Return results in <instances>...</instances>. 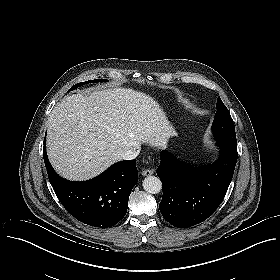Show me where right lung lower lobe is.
I'll use <instances>...</instances> for the list:
<instances>
[{
    "label": "right lung lower lobe",
    "instance_id": "1",
    "mask_svg": "<svg viewBox=\"0 0 280 280\" xmlns=\"http://www.w3.org/2000/svg\"><path fill=\"white\" fill-rule=\"evenodd\" d=\"M43 158L58 199L73 217L90 226L108 228L125 216L131 190L138 182L135 160L117 162L91 180L73 182L61 178L52 168L45 139Z\"/></svg>",
    "mask_w": 280,
    "mask_h": 280
}]
</instances>
